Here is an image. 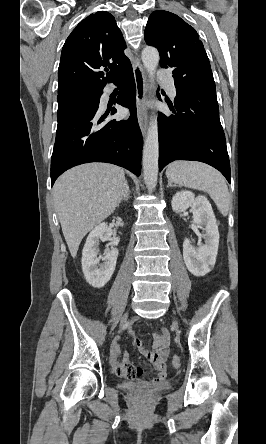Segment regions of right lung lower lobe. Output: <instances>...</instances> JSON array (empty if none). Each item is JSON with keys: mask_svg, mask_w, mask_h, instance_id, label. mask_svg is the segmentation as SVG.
<instances>
[{"mask_svg": "<svg viewBox=\"0 0 266 444\" xmlns=\"http://www.w3.org/2000/svg\"><path fill=\"white\" fill-rule=\"evenodd\" d=\"M119 86L116 102L130 109V117L121 121H106L108 108L102 113L97 104L89 111L72 115L59 123L51 158V185L64 171L89 162H107L124 167L135 175L141 173L143 139L136 115V89L133 69L127 65L113 81Z\"/></svg>", "mask_w": 266, "mask_h": 444, "instance_id": "98d812e1", "label": "right lung lower lobe"}]
</instances>
